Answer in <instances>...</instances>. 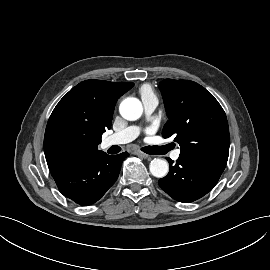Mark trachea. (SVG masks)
Listing matches in <instances>:
<instances>
[{
	"mask_svg": "<svg viewBox=\"0 0 270 270\" xmlns=\"http://www.w3.org/2000/svg\"><path fill=\"white\" fill-rule=\"evenodd\" d=\"M143 152L147 153V154H165L166 152L169 151L168 146H148V147H144L141 149Z\"/></svg>",
	"mask_w": 270,
	"mask_h": 270,
	"instance_id": "3493384b",
	"label": "trachea"
}]
</instances>
